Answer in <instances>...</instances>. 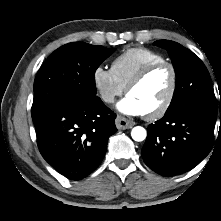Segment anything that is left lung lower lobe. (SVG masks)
Listing matches in <instances>:
<instances>
[{
  "mask_svg": "<svg viewBox=\"0 0 221 221\" xmlns=\"http://www.w3.org/2000/svg\"><path fill=\"white\" fill-rule=\"evenodd\" d=\"M216 115L196 104L166 112L147 128L141 151L145 164L163 176L193 169L212 149Z\"/></svg>",
  "mask_w": 221,
  "mask_h": 221,
  "instance_id": "0a47b994",
  "label": "left lung lower lobe"
}]
</instances>
